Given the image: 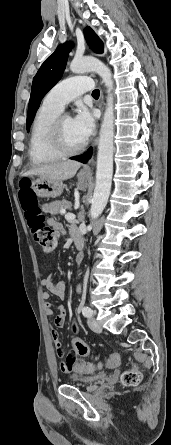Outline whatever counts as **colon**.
I'll return each mask as SVG.
<instances>
[{
  "instance_id": "1",
  "label": "colon",
  "mask_w": 171,
  "mask_h": 445,
  "mask_svg": "<svg viewBox=\"0 0 171 445\" xmlns=\"http://www.w3.org/2000/svg\"><path fill=\"white\" fill-rule=\"evenodd\" d=\"M19 202L24 212L27 225L34 240L38 243L39 249L43 253L53 252L59 242V232L49 226L46 217L39 207V201L35 192L28 186H22L18 193ZM72 347L79 356L85 357L90 354L87 345L80 339L74 338L71 341ZM117 358L114 354L108 356V362L114 364ZM100 367V364H79L75 366L78 372L93 373ZM142 380L141 372L132 367L124 371L121 375V382L126 387H134Z\"/></svg>"
}]
</instances>
